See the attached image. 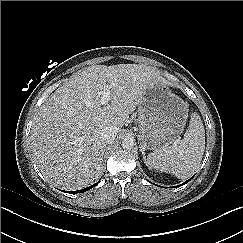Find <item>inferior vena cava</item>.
Listing matches in <instances>:
<instances>
[{"label": "inferior vena cava", "instance_id": "inferior-vena-cava-1", "mask_svg": "<svg viewBox=\"0 0 243 243\" xmlns=\"http://www.w3.org/2000/svg\"><path fill=\"white\" fill-rule=\"evenodd\" d=\"M118 133V129L113 126H109L104 129V131L101 134V139L105 144H111Z\"/></svg>", "mask_w": 243, "mask_h": 243}]
</instances>
